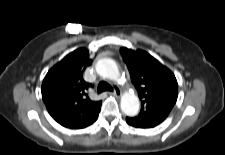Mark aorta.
Returning <instances> with one entry per match:
<instances>
[{
  "label": "aorta",
  "instance_id": "762f6f07",
  "mask_svg": "<svg viewBox=\"0 0 225 155\" xmlns=\"http://www.w3.org/2000/svg\"><path fill=\"white\" fill-rule=\"evenodd\" d=\"M96 71L104 78L116 80L119 77V68L117 63L110 58H102L96 64ZM121 110L127 116H135L139 112V99L130 92H125L120 101Z\"/></svg>",
  "mask_w": 225,
  "mask_h": 155
}]
</instances>
